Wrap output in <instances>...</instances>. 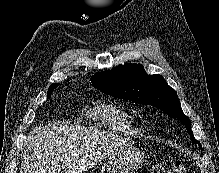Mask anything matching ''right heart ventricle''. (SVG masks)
<instances>
[{
    "label": "right heart ventricle",
    "instance_id": "right-heart-ventricle-1",
    "mask_svg": "<svg viewBox=\"0 0 219 173\" xmlns=\"http://www.w3.org/2000/svg\"><path fill=\"white\" fill-rule=\"evenodd\" d=\"M87 117L116 133L136 134L139 131L128 109L115 102H97L87 111Z\"/></svg>",
    "mask_w": 219,
    "mask_h": 173
}]
</instances>
